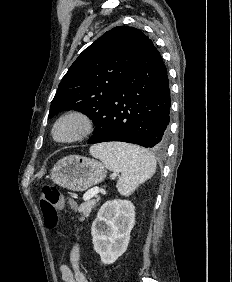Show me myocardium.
Listing matches in <instances>:
<instances>
[{
	"label": "myocardium",
	"mask_w": 232,
	"mask_h": 282,
	"mask_svg": "<svg viewBox=\"0 0 232 282\" xmlns=\"http://www.w3.org/2000/svg\"><path fill=\"white\" fill-rule=\"evenodd\" d=\"M71 127L66 135H59L61 128ZM94 121L91 116L81 110H71L60 115L52 124L50 135L52 140L60 145H70L81 142L91 135Z\"/></svg>",
	"instance_id": "obj_1"
}]
</instances>
